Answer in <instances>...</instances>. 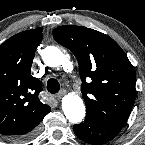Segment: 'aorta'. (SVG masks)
<instances>
[{"instance_id": "obj_1", "label": "aorta", "mask_w": 145, "mask_h": 145, "mask_svg": "<svg viewBox=\"0 0 145 145\" xmlns=\"http://www.w3.org/2000/svg\"><path fill=\"white\" fill-rule=\"evenodd\" d=\"M42 60L49 67L63 65L66 58L62 51L55 46H47L41 53ZM62 110L69 122L77 124L85 117V106L82 99L75 93H69L62 99Z\"/></svg>"}]
</instances>
